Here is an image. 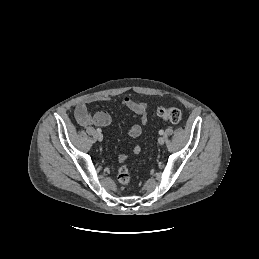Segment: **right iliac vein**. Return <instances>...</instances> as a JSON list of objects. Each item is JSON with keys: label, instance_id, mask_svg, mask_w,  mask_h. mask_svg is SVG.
I'll return each mask as SVG.
<instances>
[{"label": "right iliac vein", "instance_id": "right-iliac-vein-1", "mask_svg": "<svg viewBox=\"0 0 259 259\" xmlns=\"http://www.w3.org/2000/svg\"><path fill=\"white\" fill-rule=\"evenodd\" d=\"M96 138H97L98 141H102L103 140V135L101 133H98L96 135Z\"/></svg>", "mask_w": 259, "mask_h": 259}]
</instances>
